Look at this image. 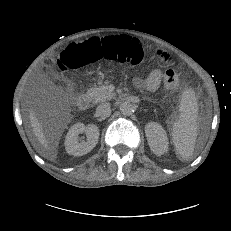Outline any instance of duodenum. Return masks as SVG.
<instances>
[{"label":"duodenum","mask_w":231,"mask_h":231,"mask_svg":"<svg viewBox=\"0 0 231 231\" xmlns=\"http://www.w3.org/2000/svg\"><path fill=\"white\" fill-rule=\"evenodd\" d=\"M91 97L88 94L78 96L76 103L77 107L81 110H86L89 107Z\"/></svg>","instance_id":"obj_1"}]
</instances>
